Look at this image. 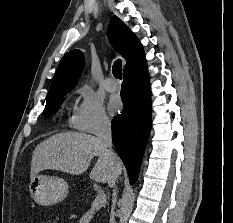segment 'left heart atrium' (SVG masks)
Wrapping results in <instances>:
<instances>
[{
    "label": "left heart atrium",
    "instance_id": "39dd6f15",
    "mask_svg": "<svg viewBox=\"0 0 233 223\" xmlns=\"http://www.w3.org/2000/svg\"><path fill=\"white\" fill-rule=\"evenodd\" d=\"M121 110L120 101L117 97H111L109 101V112L112 116L118 114Z\"/></svg>",
    "mask_w": 233,
    "mask_h": 223
}]
</instances>
